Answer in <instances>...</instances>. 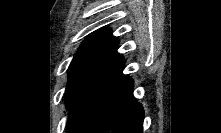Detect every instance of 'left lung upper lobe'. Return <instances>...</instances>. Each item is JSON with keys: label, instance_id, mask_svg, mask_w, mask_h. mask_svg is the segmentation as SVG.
Masks as SVG:
<instances>
[{"label": "left lung upper lobe", "instance_id": "5c2ea615", "mask_svg": "<svg viewBox=\"0 0 221 133\" xmlns=\"http://www.w3.org/2000/svg\"><path fill=\"white\" fill-rule=\"evenodd\" d=\"M117 48L118 39L107 28L96 30L83 41L68 70L67 109L91 82L122 60Z\"/></svg>", "mask_w": 221, "mask_h": 133}]
</instances>
